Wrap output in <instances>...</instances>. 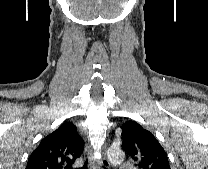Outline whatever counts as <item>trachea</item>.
Listing matches in <instances>:
<instances>
[{
    "mask_svg": "<svg viewBox=\"0 0 208 169\" xmlns=\"http://www.w3.org/2000/svg\"><path fill=\"white\" fill-rule=\"evenodd\" d=\"M87 165H88V160H86V162H85V164H84L83 167H81V168H76V169H87Z\"/></svg>",
    "mask_w": 208,
    "mask_h": 169,
    "instance_id": "obj_1",
    "label": "trachea"
}]
</instances>
